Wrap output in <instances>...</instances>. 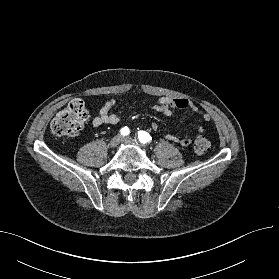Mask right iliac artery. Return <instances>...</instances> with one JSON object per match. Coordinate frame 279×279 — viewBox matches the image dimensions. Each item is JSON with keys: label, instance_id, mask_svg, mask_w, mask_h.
Returning <instances> with one entry per match:
<instances>
[{"label": "right iliac artery", "instance_id": "obj_1", "mask_svg": "<svg viewBox=\"0 0 279 279\" xmlns=\"http://www.w3.org/2000/svg\"><path fill=\"white\" fill-rule=\"evenodd\" d=\"M120 133H121V135H123V136H127V135H129L130 130H129L128 127H123V128L120 130Z\"/></svg>", "mask_w": 279, "mask_h": 279}]
</instances>
